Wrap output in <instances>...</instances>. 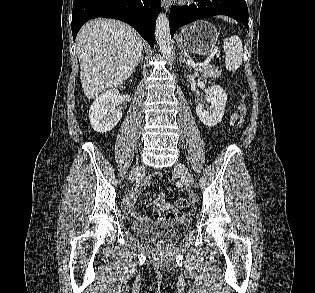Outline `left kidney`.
<instances>
[{
	"label": "left kidney",
	"mask_w": 315,
	"mask_h": 293,
	"mask_svg": "<svg viewBox=\"0 0 315 293\" xmlns=\"http://www.w3.org/2000/svg\"><path fill=\"white\" fill-rule=\"evenodd\" d=\"M207 101L210 103L208 110H205L204 104L199 103L196 113L203 124L213 127L223 118L227 94L221 86L213 85L208 90Z\"/></svg>",
	"instance_id": "left-kidney-1"
}]
</instances>
